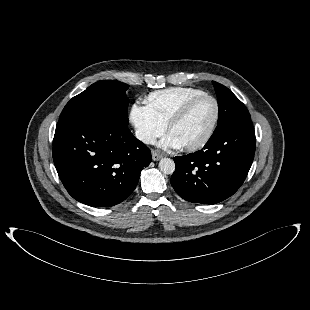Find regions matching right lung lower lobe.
<instances>
[{
    "mask_svg": "<svg viewBox=\"0 0 310 310\" xmlns=\"http://www.w3.org/2000/svg\"><path fill=\"white\" fill-rule=\"evenodd\" d=\"M53 160L74 199L93 207H109L133 192L141 170L151 162V152L127 126L76 116L57 123Z\"/></svg>",
    "mask_w": 310,
    "mask_h": 310,
    "instance_id": "98d812e1",
    "label": "right lung lower lobe"
}]
</instances>
